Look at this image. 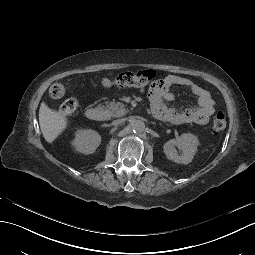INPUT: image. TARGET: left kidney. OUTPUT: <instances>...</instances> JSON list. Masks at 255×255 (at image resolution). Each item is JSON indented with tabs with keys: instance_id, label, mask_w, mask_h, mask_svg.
<instances>
[{
	"instance_id": "obj_1",
	"label": "left kidney",
	"mask_w": 255,
	"mask_h": 255,
	"mask_svg": "<svg viewBox=\"0 0 255 255\" xmlns=\"http://www.w3.org/2000/svg\"><path fill=\"white\" fill-rule=\"evenodd\" d=\"M198 145L199 141L195 135L184 133L178 139L167 141L163 146V150L168 159L177 163L188 164L192 161ZM175 146L182 151L181 155L178 154Z\"/></svg>"
}]
</instances>
